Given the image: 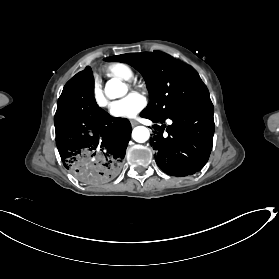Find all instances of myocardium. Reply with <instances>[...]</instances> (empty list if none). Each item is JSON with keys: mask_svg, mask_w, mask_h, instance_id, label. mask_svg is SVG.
<instances>
[{"mask_svg": "<svg viewBox=\"0 0 279 279\" xmlns=\"http://www.w3.org/2000/svg\"><path fill=\"white\" fill-rule=\"evenodd\" d=\"M135 87H136V86H135V82H134V81L130 80V81H127V82H126V88H127V90L134 92V88H135ZM137 88H141V86H137Z\"/></svg>", "mask_w": 279, "mask_h": 279, "instance_id": "obj_1", "label": "myocardium"}]
</instances>
